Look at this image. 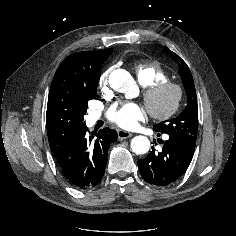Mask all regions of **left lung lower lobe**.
<instances>
[{
    "label": "left lung lower lobe",
    "instance_id": "1",
    "mask_svg": "<svg viewBox=\"0 0 236 236\" xmlns=\"http://www.w3.org/2000/svg\"><path fill=\"white\" fill-rule=\"evenodd\" d=\"M160 152L154 149L138 161L142 177L152 185L166 186L179 179L188 168L195 146L169 136Z\"/></svg>",
    "mask_w": 236,
    "mask_h": 236
}]
</instances>
